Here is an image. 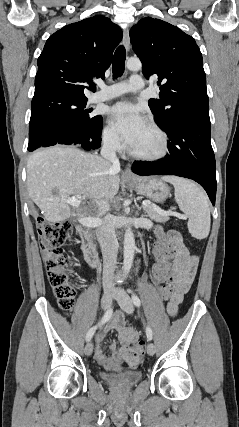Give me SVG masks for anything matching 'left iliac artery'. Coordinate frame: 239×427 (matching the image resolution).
Segmentation results:
<instances>
[{"mask_svg": "<svg viewBox=\"0 0 239 427\" xmlns=\"http://www.w3.org/2000/svg\"><path fill=\"white\" fill-rule=\"evenodd\" d=\"M131 294H132V301H133L134 305L137 307H140L141 301H140L139 297L133 292H131ZM146 335H147L148 340H152L153 334H152V330L149 326L146 327Z\"/></svg>", "mask_w": 239, "mask_h": 427, "instance_id": "1", "label": "left iliac artery"}]
</instances>
